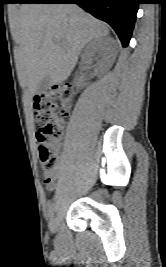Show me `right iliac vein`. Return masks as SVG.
<instances>
[{
	"mask_svg": "<svg viewBox=\"0 0 166 267\" xmlns=\"http://www.w3.org/2000/svg\"><path fill=\"white\" fill-rule=\"evenodd\" d=\"M58 224H59L58 218L53 217L49 223V229H50L51 233H55L57 231Z\"/></svg>",
	"mask_w": 166,
	"mask_h": 267,
	"instance_id": "right-iliac-vein-1",
	"label": "right iliac vein"
}]
</instances>
